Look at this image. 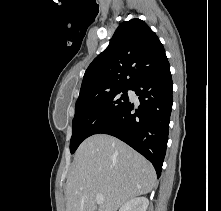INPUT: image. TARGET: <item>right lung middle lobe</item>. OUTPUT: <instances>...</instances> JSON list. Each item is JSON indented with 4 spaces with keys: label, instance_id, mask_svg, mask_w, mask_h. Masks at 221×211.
<instances>
[{
    "label": "right lung middle lobe",
    "instance_id": "obj_1",
    "mask_svg": "<svg viewBox=\"0 0 221 211\" xmlns=\"http://www.w3.org/2000/svg\"><path fill=\"white\" fill-rule=\"evenodd\" d=\"M128 89H115L96 96L78 98L72 123L71 154L87 137L97 134L128 103Z\"/></svg>",
    "mask_w": 221,
    "mask_h": 211
}]
</instances>
